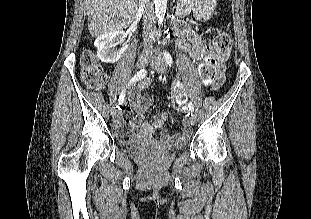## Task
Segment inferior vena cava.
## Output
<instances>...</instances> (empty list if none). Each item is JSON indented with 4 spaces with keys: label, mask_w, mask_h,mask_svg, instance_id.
<instances>
[{
    "label": "inferior vena cava",
    "mask_w": 311,
    "mask_h": 219,
    "mask_svg": "<svg viewBox=\"0 0 311 219\" xmlns=\"http://www.w3.org/2000/svg\"><path fill=\"white\" fill-rule=\"evenodd\" d=\"M143 5L145 6V12L143 17V29L144 31V42L145 47L147 49L152 48L153 40L151 37L148 36V30H150L154 23V11L152 5L149 3V0H142Z\"/></svg>",
    "instance_id": "inferior-vena-cava-1"
}]
</instances>
